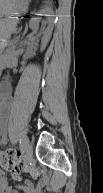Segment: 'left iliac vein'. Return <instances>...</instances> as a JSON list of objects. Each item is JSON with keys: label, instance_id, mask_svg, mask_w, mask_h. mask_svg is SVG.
<instances>
[{"label": "left iliac vein", "instance_id": "1", "mask_svg": "<svg viewBox=\"0 0 103 193\" xmlns=\"http://www.w3.org/2000/svg\"><path fill=\"white\" fill-rule=\"evenodd\" d=\"M33 156V148L31 145H27L26 151H25V159L29 161Z\"/></svg>", "mask_w": 103, "mask_h": 193}]
</instances>
